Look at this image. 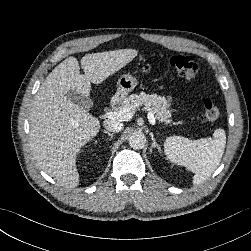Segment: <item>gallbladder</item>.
Listing matches in <instances>:
<instances>
[{
  "mask_svg": "<svg viewBox=\"0 0 251 251\" xmlns=\"http://www.w3.org/2000/svg\"><path fill=\"white\" fill-rule=\"evenodd\" d=\"M67 97L75 104H77L79 107L90 110L93 106V101L88 97H83L81 94H79L75 90H70L67 93Z\"/></svg>",
  "mask_w": 251,
  "mask_h": 251,
  "instance_id": "bac80fb5",
  "label": "gallbladder"
}]
</instances>
